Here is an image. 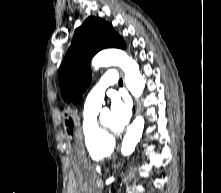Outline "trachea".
<instances>
[{"label": "trachea", "mask_w": 221, "mask_h": 193, "mask_svg": "<svg viewBox=\"0 0 221 193\" xmlns=\"http://www.w3.org/2000/svg\"><path fill=\"white\" fill-rule=\"evenodd\" d=\"M119 84H123V81H122V79H120V80H119Z\"/></svg>", "instance_id": "3493384b"}]
</instances>
